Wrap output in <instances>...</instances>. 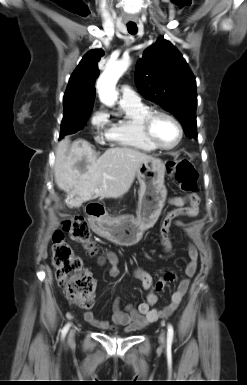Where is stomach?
<instances>
[{"mask_svg":"<svg viewBox=\"0 0 247 385\" xmlns=\"http://www.w3.org/2000/svg\"><path fill=\"white\" fill-rule=\"evenodd\" d=\"M165 170L163 161L153 157L140 164L136 172L140 185L137 217L109 218L102 233L105 238L118 245L132 246L141 240L144 231L153 227L167 196Z\"/></svg>","mask_w":247,"mask_h":385,"instance_id":"stomach-1","label":"stomach"}]
</instances>
